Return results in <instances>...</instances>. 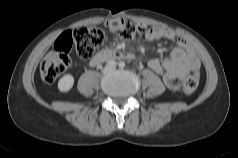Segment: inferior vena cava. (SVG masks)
Returning a JSON list of instances; mask_svg holds the SVG:
<instances>
[{"mask_svg": "<svg viewBox=\"0 0 238 158\" xmlns=\"http://www.w3.org/2000/svg\"><path fill=\"white\" fill-rule=\"evenodd\" d=\"M112 68H113V67L107 66V69H109V70L112 69Z\"/></svg>", "mask_w": 238, "mask_h": 158, "instance_id": "602c4592", "label": "inferior vena cava"}]
</instances>
